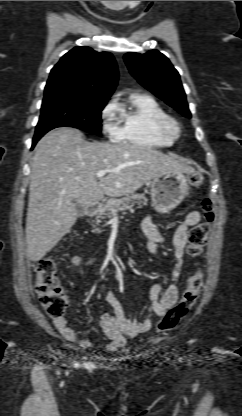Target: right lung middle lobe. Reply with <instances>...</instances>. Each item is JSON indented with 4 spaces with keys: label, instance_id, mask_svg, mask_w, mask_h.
I'll return each mask as SVG.
<instances>
[{
    "label": "right lung middle lobe",
    "instance_id": "1",
    "mask_svg": "<svg viewBox=\"0 0 242 416\" xmlns=\"http://www.w3.org/2000/svg\"><path fill=\"white\" fill-rule=\"evenodd\" d=\"M108 99L68 95L44 97L34 136H43L56 127H74L89 133L101 131V111Z\"/></svg>",
    "mask_w": 242,
    "mask_h": 416
}]
</instances>
